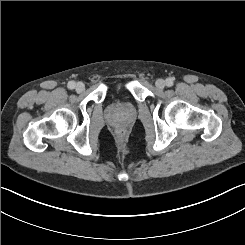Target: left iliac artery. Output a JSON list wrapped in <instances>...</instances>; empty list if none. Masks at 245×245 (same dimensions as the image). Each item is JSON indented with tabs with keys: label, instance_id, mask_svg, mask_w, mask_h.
Returning a JSON list of instances; mask_svg holds the SVG:
<instances>
[{
	"label": "left iliac artery",
	"instance_id": "1",
	"mask_svg": "<svg viewBox=\"0 0 245 245\" xmlns=\"http://www.w3.org/2000/svg\"><path fill=\"white\" fill-rule=\"evenodd\" d=\"M166 84L167 86L171 87L173 85V79L172 78L166 79Z\"/></svg>",
	"mask_w": 245,
	"mask_h": 245
}]
</instances>
